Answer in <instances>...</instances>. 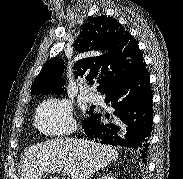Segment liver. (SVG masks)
Masks as SVG:
<instances>
[{"label": "liver", "mask_w": 183, "mask_h": 179, "mask_svg": "<svg viewBox=\"0 0 183 179\" xmlns=\"http://www.w3.org/2000/svg\"><path fill=\"white\" fill-rule=\"evenodd\" d=\"M118 158L109 146L82 139H54L26 149L20 179H41L63 173L71 179H90L94 172ZM50 179H58L51 176Z\"/></svg>", "instance_id": "6515ba94"}]
</instances>
